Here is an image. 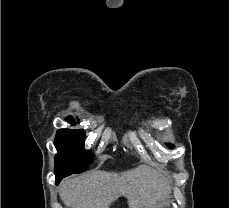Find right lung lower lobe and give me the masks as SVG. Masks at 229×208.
<instances>
[{
    "label": "right lung lower lobe",
    "mask_w": 229,
    "mask_h": 208,
    "mask_svg": "<svg viewBox=\"0 0 229 208\" xmlns=\"http://www.w3.org/2000/svg\"><path fill=\"white\" fill-rule=\"evenodd\" d=\"M66 176L61 175V176H56V185H58L60 183V181Z\"/></svg>",
    "instance_id": "98d812e1"
}]
</instances>
